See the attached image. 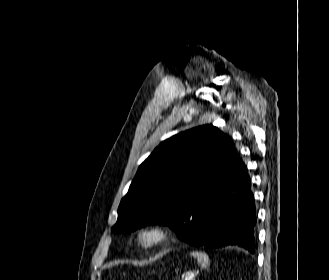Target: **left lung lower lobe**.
<instances>
[{
  "mask_svg": "<svg viewBox=\"0 0 329 280\" xmlns=\"http://www.w3.org/2000/svg\"><path fill=\"white\" fill-rule=\"evenodd\" d=\"M225 172V185L220 187L219 192H212L206 197L196 216L192 215L190 221L186 218L175 231L181 240L193 246H238L254 253V197L247 169L238 154Z\"/></svg>",
  "mask_w": 329,
  "mask_h": 280,
  "instance_id": "1",
  "label": "left lung lower lobe"
}]
</instances>
